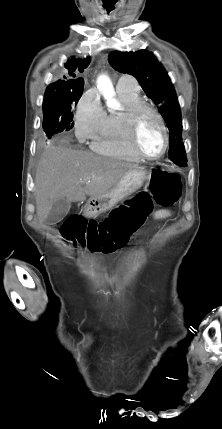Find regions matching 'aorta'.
<instances>
[{
	"label": "aorta",
	"instance_id": "obj_1",
	"mask_svg": "<svg viewBox=\"0 0 222 429\" xmlns=\"http://www.w3.org/2000/svg\"><path fill=\"white\" fill-rule=\"evenodd\" d=\"M97 84L99 90L107 101V105L114 107L116 105V101L114 100L115 92L109 77L106 75H101L97 80Z\"/></svg>",
	"mask_w": 222,
	"mask_h": 429
}]
</instances>
